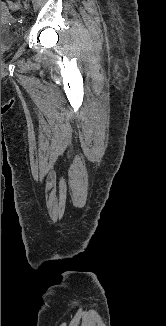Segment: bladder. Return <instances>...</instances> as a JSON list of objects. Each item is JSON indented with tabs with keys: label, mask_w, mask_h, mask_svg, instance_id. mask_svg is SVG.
<instances>
[{
	"label": "bladder",
	"mask_w": 166,
	"mask_h": 326,
	"mask_svg": "<svg viewBox=\"0 0 166 326\" xmlns=\"http://www.w3.org/2000/svg\"><path fill=\"white\" fill-rule=\"evenodd\" d=\"M6 11V8L1 5V14ZM15 35L13 32L6 31L1 28V53L10 49L14 43Z\"/></svg>",
	"instance_id": "1"
}]
</instances>
